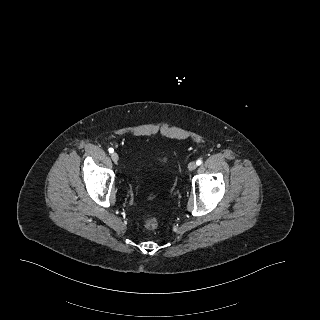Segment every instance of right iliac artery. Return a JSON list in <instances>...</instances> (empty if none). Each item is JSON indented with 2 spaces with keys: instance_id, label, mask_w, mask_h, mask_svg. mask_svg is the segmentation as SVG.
Masks as SVG:
<instances>
[{
  "instance_id": "right-iliac-artery-1",
  "label": "right iliac artery",
  "mask_w": 320,
  "mask_h": 320,
  "mask_svg": "<svg viewBox=\"0 0 320 320\" xmlns=\"http://www.w3.org/2000/svg\"><path fill=\"white\" fill-rule=\"evenodd\" d=\"M109 153H113L114 152V150H113V148H109Z\"/></svg>"
}]
</instances>
